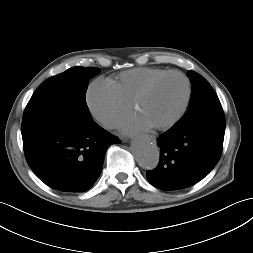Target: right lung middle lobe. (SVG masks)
<instances>
[{
    "label": "right lung middle lobe",
    "mask_w": 253,
    "mask_h": 253,
    "mask_svg": "<svg viewBox=\"0 0 253 253\" xmlns=\"http://www.w3.org/2000/svg\"><path fill=\"white\" fill-rule=\"evenodd\" d=\"M99 70L95 67H72L43 82L25 108L22 134L60 118L92 119L85 95L89 80Z\"/></svg>",
    "instance_id": "dd1d6c3e"
}]
</instances>
